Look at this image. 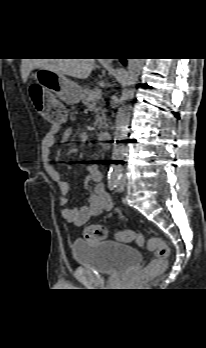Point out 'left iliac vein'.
<instances>
[{
  "label": "left iliac vein",
  "instance_id": "left-iliac-vein-1",
  "mask_svg": "<svg viewBox=\"0 0 206 348\" xmlns=\"http://www.w3.org/2000/svg\"><path fill=\"white\" fill-rule=\"evenodd\" d=\"M125 182H126V178L123 177L118 183H117V190L119 192H122L125 188Z\"/></svg>",
  "mask_w": 206,
  "mask_h": 348
}]
</instances>
